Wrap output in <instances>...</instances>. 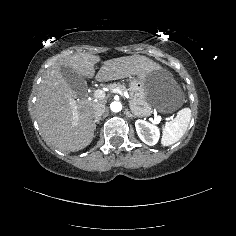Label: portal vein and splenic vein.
I'll return each mask as SVG.
<instances>
[{"mask_svg": "<svg viewBox=\"0 0 236 236\" xmlns=\"http://www.w3.org/2000/svg\"><path fill=\"white\" fill-rule=\"evenodd\" d=\"M113 92L119 93L120 95L122 94V91L120 89H118V88L113 89ZM94 97L96 99H103L105 97V92L100 90V89H97V90L94 91ZM72 115H73V125H77L79 117H78V112H77V108L76 107H74L72 109ZM157 119L160 121L161 120V116H157ZM170 119L174 120L175 116L171 115L170 117L169 116L165 117L166 121H169Z\"/></svg>", "mask_w": 236, "mask_h": 236, "instance_id": "obj_1", "label": "portal vein and splenic vein"}]
</instances>
